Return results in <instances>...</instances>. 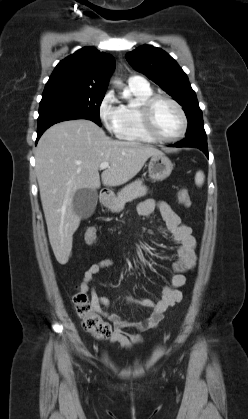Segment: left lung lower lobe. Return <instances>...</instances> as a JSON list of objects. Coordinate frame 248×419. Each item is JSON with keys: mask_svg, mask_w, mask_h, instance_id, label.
<instances>
[{"mask_svg": "<svg viewBox=\"0 0 248 419\" xmlns=\"http://www.w3.org/2000/svg\"><path fill=\"white\" fill-rule=\"evenodd\" d=\"M174 147H195L204 152V154L208 157V149H207V137L206 133H195L190 136H186V138L174 145Z\"/></svg>", "mask_w": 248, "mask_h": 419, "instance_id": "1", "label": "left lung lower lobe"}]
</instances>
